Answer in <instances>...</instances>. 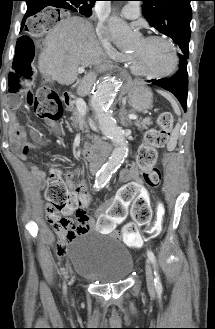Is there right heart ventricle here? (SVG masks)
I'll use <instances>...</instances> for the list:
<instances>
[{"label":"right heart ventricle","instance_id":"right-heart-ventricle-1","mask_svg":"<svg viewBox=\"0 0 215 329\" xmlns=\"http://www.w3.org/2000/svg\"><path fill=\"white\" fill-rule=\"evenodd\" d=\"M123 59L129 65V67L131 68V65H130V62H129V55H125Z\"/></svg>","mask_w":215,"mask_h":329}]
</instances>
